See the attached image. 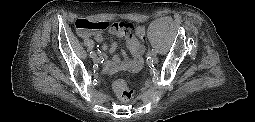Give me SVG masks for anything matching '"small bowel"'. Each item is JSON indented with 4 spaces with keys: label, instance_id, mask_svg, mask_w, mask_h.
I'll return each instance as SVG.
<instances>
[{
    "label": "small bowel",
    "instance_id": "obj_1",
    "mask_svg": "<svg viewBox=\"0 0 255 122\" xmlns=\"http://www.w3.org/2000/svg\"><path fill=\"white\" fill-rule=\"evenodd\" d=\"M109 34H116L120 38H127V46L132 54V59H128L127 54L122 51L119 56H114L111 61H105L103 63V70L106 73H114L119 71L137 72L142 66V56L144 53V46L140 40L133 34H128L126 30L109 29ZM85 38H91L96 42H102L103 36L100 32H91L85 36ZM144 36L140 39H143ZM108 47L104 45L103 49ZM117 49V43L112 42L109 46L110 52H115Z\"/></svg>",
    "mask_w": 255,
    "mask_h": 122
}]
</instances>
